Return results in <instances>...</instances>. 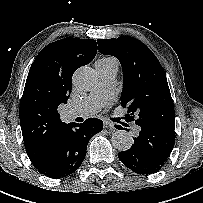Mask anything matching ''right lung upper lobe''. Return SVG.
I'll list each match as a JSON object with an SVG mask.
<instances>
[{
	"label": "right lung upper lobe",
	"mask_w": 203,
	"mask_h": 203,
	"mask_svg": "<svg viewBox=\"0 0 203 203\" xmlns=\"http://www.w3.org/2000/svg\"><path fill=\"white\" fill-rule=\"evenodd\" d=\"M97 52L93 39L64 38L48 44L35 58L20 102V125L32 164L49 153L66 123L57 108L67 103L76 69Z\"/></svg>",
	"instance_id": "right-lung-upper-lobe-1"
}]
</instances>
